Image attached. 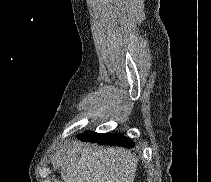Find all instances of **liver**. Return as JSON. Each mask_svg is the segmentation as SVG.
I'll use <instances>...</instances> for the list:
<instances>
[{
  "instance_id": "6515ba94",
  "label": "liver",
  "mask_w": 211,
  "mask_h": 182,
  "mask_svg": "<svg viewBox=\"0 0 211 182\" xmlns=\"http://www.w3.org/2000/svg\"><path fill=\"white\" fill-rule=\"evenodd\" d=\"M61 166L62 182H133L137 159L123 148L76 142Z\"/></svg>"
}]
</instances>
